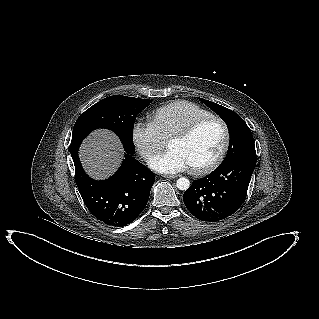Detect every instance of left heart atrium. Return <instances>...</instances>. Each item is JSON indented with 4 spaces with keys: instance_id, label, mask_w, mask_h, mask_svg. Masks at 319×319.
<instances>
[{
    "instance_id": "1",
    "label": "left heart atrium",
    "mask_w": 319,
    "mask_h": 319,
    "mask_svg": "<svg viewBox=\"0 0 319 319\" xmlns=\"http://www.w3.org/2000/svg\"><path fill=\"white\" fill-rule=\"evenodd\" d=\"M151 168L163 173H177L186 170L188 163L181 153L175 149H169L150 162Z\"/></svg>"
}]
</instances>
